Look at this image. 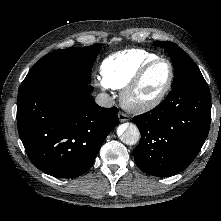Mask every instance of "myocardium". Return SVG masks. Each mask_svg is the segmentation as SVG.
<instances>
[{
    "instance_id": "obj_1",
    "label": "myocardium",
    "mask_w": 221,
    "mask_h": 221,
    "mask_svg": "<svg viewBox=\"0 0 221 221\" xmlns=\"http://www.w3.org/2000/svg\"><path fill=\"white\" fill-rule=\"evenodd\" d=\"M164 62L169 67V77L161 89V91L154 97L147 99V100H137L135 99L134 95L136 90L138 89L139 85L141 84L142 80L149 72V70L158 63ZM174 80V67L172 63L162 57H158L147 62L144 66H142L138 72L134 75V77L129 81V83L123 88L121 93V103L124 108L132 112H146L151 109L157 107L167 96L169 93Z\"/></svg>"
}]
</instances>
